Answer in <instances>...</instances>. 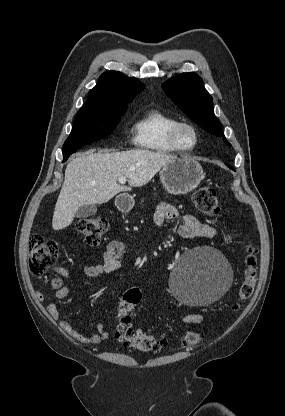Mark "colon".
<instances>
[{
    "label": "colon",
    "instance_id": "colon-1",
    "mask_svg": "<svg viewBox=\"0 0 285 416\" xmlns=\"http://www.w3.org/2000/svg\"><path fill=\"white\" fill-rule=\"evenodd\" d=\"M195 208L204 215L214 216L219 213L220 207L216 191L212 186H202L193 194ZM109 224L101 217H88L81 219L77 229L88 245L96 246L100 243L103 234L108 230ZM59 248L53 240L45 239L39 234L31 236L29 242V270L34 276H42L56 261ZM257 280L256 250L252 246L247 249L245 258V276L238 289V297L241 301L249 299L255 289ZM59 279L53 281L54 287H59ZM142 292L137 287H131L120 297L117 307V338L127 347L141 352H157L167 346L168 341L164 337H157L148 332L133 329L131 316L140 303ZM203 335L195 331H187L183 336L185 346L198 344Z\"/></svg>",
    "mask_w": 285,
    "mask_h": 416
}]
</instances>
